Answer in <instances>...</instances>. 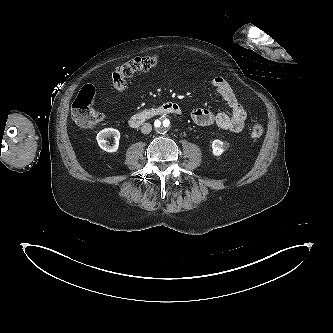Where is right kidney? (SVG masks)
Returning <instances> with one entry per match:
<instances>
[{
    "mask_svg": "<svg viewBox=\"0 0 333 333\" xmlns=\"http://www.w3.org/2000/svg\"><path fill=\"white\" fill-rule=\"evenodd\" d=\"M108 136H113L115 139V144L113 146L106 143L105 138ZM97 142L101 149L107 152H116L119 147L120 132L114 128H105L97 134Z\"/></svg>",
    "mask_w": 333,
    "mask_h": 333,
    "instance_id": "ca27d5eb",
    "label": "right kidney"
}]
</instances>
